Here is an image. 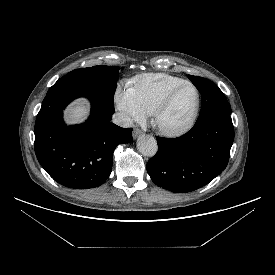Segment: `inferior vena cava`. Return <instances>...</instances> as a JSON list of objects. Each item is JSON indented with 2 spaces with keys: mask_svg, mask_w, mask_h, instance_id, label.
Masks as SVG:
<instances>
[{
  "mask_svg": "<svg viewBox=\"0 0 275 275\" xmlns=\"http://www.w3.org/2000/svg\"><path fill=\"white\" fill-rule=\"evenodd\" d=\"M112 121L114 124L124 128H130L133 125L132 119L124 113H115Z\"/></svg>",
  "mask_w": 275,
  "mask_h": 275,
  "instance_id": "1",
  "label": "inferior vena cava"
}]
</instances>
